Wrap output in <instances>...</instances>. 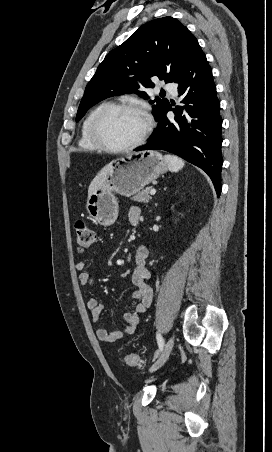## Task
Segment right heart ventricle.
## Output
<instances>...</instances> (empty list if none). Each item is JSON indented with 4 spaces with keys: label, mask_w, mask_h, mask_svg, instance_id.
Segmentation results:
<instances>
[{
    "label": "right heart ventricle",
    "mask_w": 272,
    "mask_h": 452,
    "mask_svg": "<svg viewBox=\"0 0 272 452\" xmlns=\"http://www.w3.org/2000/svg\"><path fill=\"white\" fill-rule=\"evenodd\" d=\"M101 106V105H100ZM96 107L92 111L88 113V115L85 117L80 131V137L78 140V145L84 150L87 151H98L100 148L93 142V140L90 137L89 134V122L92 117V115L95 113V111L100 107Z\"/></svg>",
    "instance_id": "obj_1"
}]
</instances>
